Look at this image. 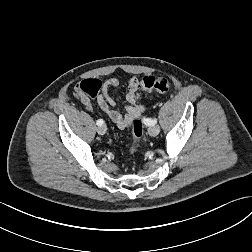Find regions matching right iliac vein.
<instances>
[{
  "mask_svg": "<svg viewBox=\"0 0 252 252\" xmlns=\"http://www.w3.org/2000/svg\"><path fill=\"white\" fill-rule=\"evenodd\" d=\"M97 132L100 134V135H103L105 134L106 132V126L105 125H101L97 128Z\"/></svg>",
  "mask_w": 252,
  "mask_h": 252,
  "instance_id": "1",
  "label": "right iliac vein"
}]
</instances>
